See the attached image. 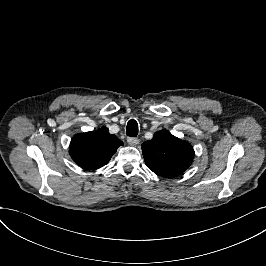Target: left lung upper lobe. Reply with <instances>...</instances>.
<instances>
[{"label":"left lung upper lobe","mask_w":266,"mask_h":266,"mask_svg":"<svg viewBox=\"0 0 266 266\" xmlns=\"http://www.w3.org/2000/svg\"><path fill=\"white\" fill-rule=\"evenodd\" d=\"M145 163L154 173L162 177H176L192 163L194 149L168 131H158L151 140L142 144Z\"/></svg>","instance_id":"obj_1"}]
</instances>
